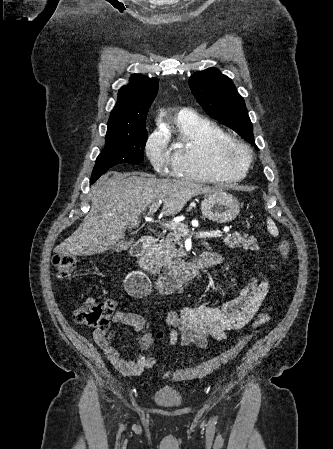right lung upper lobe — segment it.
I'll return each instance as SVG.
<instances>
[{
	"instance_id": "obj_1",
	"label": "right lung upper lobe",
	"mask_w": 333,
	"mask_h": 449,
	"mask_svg": "<svg viewBox=\"0 0 333 449\" xmlns=\"http://www.w3.org/2000/svg\"><path fill=\"white\" fill-rule=\"evenodd\" d=\"M119 90L108 121L107 135L134 136L146 126V116L158 91V79L135 74Z\"/></svg>"
}]
</instances>
